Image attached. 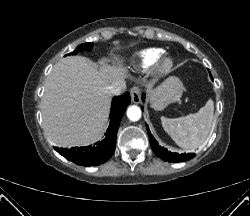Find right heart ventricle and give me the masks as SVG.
<instances>
[{
    "instance_id": "obj_1",
    "label": "right heart ventricle",
    "mask_w": 250,
    "mask_h": 216,
    "mask_svg": "<svg viewBox=\"0 0 250 216\" xmlns=\"http://www.w3.org/2000/svg\"><path fill=\"white\" fill-rule=\"evenodd\" d=\"M164 54L161 48H147L136 53L134 64L142 69H148L155 65L160 57Z\"/></svg>"
}]
</instances>
